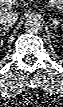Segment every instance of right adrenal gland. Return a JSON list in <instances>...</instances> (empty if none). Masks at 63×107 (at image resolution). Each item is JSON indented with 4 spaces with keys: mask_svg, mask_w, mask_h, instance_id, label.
<instances>
[{
    "mask_svg": "<svg viewBox=\"0 0 63 107\" xmlns=\"http://www.w3.org/2000/svg\"><path fill=\"white\" fill-rule=\"evenodd\" d=\"M10 30V27H0V37H4L6 32Z\"/></svg>",
    "mask_w": 63,
    "mask_h": 107,
    "instance_id": "obj_1",
    "label": "right adrenal gland"
}]
</instances>
